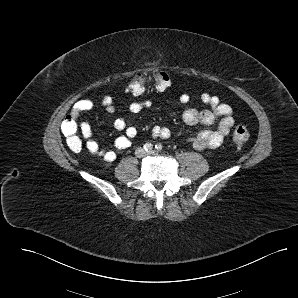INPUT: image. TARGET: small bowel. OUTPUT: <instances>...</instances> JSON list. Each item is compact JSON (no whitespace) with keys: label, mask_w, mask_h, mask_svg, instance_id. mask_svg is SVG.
Wrapping results in <instances>:
<instances>
[{"label":"small bowel","mask_w":298,"mask_h":298,"mask_svg":"<svg viewBox=\"0 0 298 298\" xmlns=\"http://www.w3.org/2000/svg\"><path fill=\"white\" fill-rule=\"evenodd\" d=\"M200 100L208 108L203 110L195 108L186 109L182 114L183 121L188 125L201 123L204 125H216L217 128L214 130H200L188 136L186 141L197 150L214 149L223 143L234 125L233 111L230 105L221 103L216 96L209 93H202ZM179 101L182 104H187L190 101V96L187 93H183L179 96ZM102 104L106 107L108 113H116V107L112 97L105 96ZM93 106L94 102L91 99L78 100L72 107L71 115L77 117L79 114L91 110ZM151 106V100L136 101L129 105L128 111L131 114H137ZM113 126L119 131H124V134L114 142L115 150L128 148L131 145V140L137 135V129L133 126H127L122 118H115L113 120ZM152 135L155 138L167 139L170 137L171 132L167 127L157 125L152 128ZM85 145L90 154L101 157L106 162H114L116 160L117 154L115 150L106 149L93 139L88 138Z\"/></svg>","instance_id":"obj_1"}]
</instances>
